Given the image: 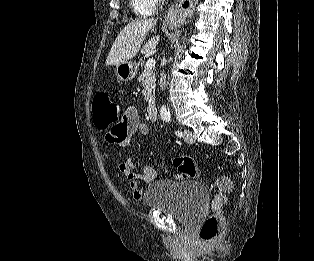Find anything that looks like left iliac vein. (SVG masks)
Masks as SVG:
<instances>
[{
  "mask_svg": "<svg viewBox=\"0 0 314 261\" xmlns=\"http://www.w3.org/2000/svg\"><path fill=\"white\" fill-rule=\"evenodd\" d=\"M184 140L187 143H190V144L195 142L194 135H193V133L190 130H185L184 131Z\"/></svg>",
  "mask_w": 314,
  "mask_h": 261,
  "instance_id": "4c4485c4",
  "label": "left iliac vein"
}]
</instances>
